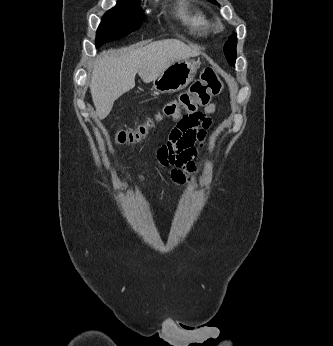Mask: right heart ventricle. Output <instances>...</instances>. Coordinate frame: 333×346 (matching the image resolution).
<instances>
[{"instance_id": "1", "label": "right heart ventricle", "mask_w": 333, "mask_h": 346, "mask_svg": "<svg viewBox=\"0 0 333 346\" xmlns=\"http://www.w3.org/2000/svg\"><path fill=\"white\" fill-rule=\"evenodd\" d=\"M176 14L187 29L196 36H206L213 30V22L194 0H179Z\"/></svg>"}]
</instances>
